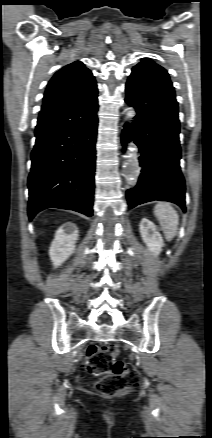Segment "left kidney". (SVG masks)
Segmentation results:
<instances>
[{"label": "left kidney", "mask_w": 212, "mask_h": 438, "mask_svg": "<svg viewBox=\"0 0 212 438\" xmlns=\"http://www.w3.org/2000/svg\"><path fill=\"white\" fill-rule=\"evenodd\" d=\"M142 240L154 255H159L164 246V241L157 227L150 220L143 218L139 225Z\"/></svg>", "instance_id": "left-kidney-1"}]
</instances>
